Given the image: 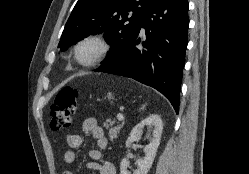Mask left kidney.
<instances>
[{
	"mask_svg": "<svg viewBox=\"0 0 249 174\" xmlns=\"http://www.w3.org/2000/svg\"><path fill=\"white\" fill-rule=\"evenodd\" d=\"M145 126L154 127L153 138L150 143L144 147L145 157L143 159L137 160L138 168L134 171L133 174H147L150 170L154 158L156 156V152L158 146L160 144L161 134L163 130V122L159 115L153 114L142 120L138 123L131 131L129 138L126 141V147L129 148L130 145L140 139L142 130ZM129 161L124 158L120 164V174H130L127 168L129 167Z\"/></svg>",
	"mask_w": 249,
	"mask_h": 174,
	"instance_id": "obj_1",
	"label": "left kidney"
}]
</instances>
